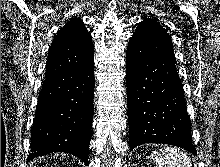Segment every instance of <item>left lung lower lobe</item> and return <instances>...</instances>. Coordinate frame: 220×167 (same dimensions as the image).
<instances>
[{
	"label": "left lung lower lobe",
	"mask_w": 220,
	"mask_h": 167,
	"mask_svg": "<svg viewBox=\"0 0 220 167\" xmlns=\"http://www.w3.org/2000/svg\"><path fill=\"white\" fill-rule=\"evenodd\" d=\"M130 149L144 143L175 145L196 154L183 86L175 61L126 55Z\"/></svg>",
	"instance_id": "obj_1"
}]
</instances>
